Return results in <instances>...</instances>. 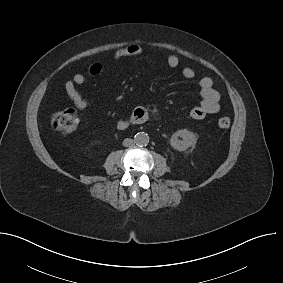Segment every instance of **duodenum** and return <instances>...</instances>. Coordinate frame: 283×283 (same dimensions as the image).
Here are the masks:
<instances>
[{
  "label": "duodenum",
  "instance_id": "obj_1",
  "mask_svg": "<svg viewBox=\"0 0 283 283\" xmlns=\"http://www.w3.org/2000/svg\"><path fill=\"white\" fill-rule=\"evenodd\" d=\"M127 125H128V123H127L126 121H120V122L118 123V127H119L120 129L126 128Z\"/></svg>",
  "mask_w": 283,
  "mask_h": 283
}]
</instances>
